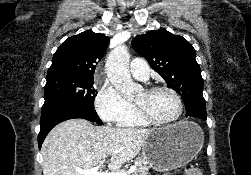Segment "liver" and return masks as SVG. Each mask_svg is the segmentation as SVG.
Listing matches in <instances>:
<instances>
[{"mask_svg": "<svg viewBox=\"0 0 251 175\" xmlns=\"http://www.w3.org/2000/svg\"><path fill=\"white\" fill-rule=\"evenodd\" d=\"M150 129L94 127L87 119H67L55 125L42 143L44 175H83L75 169L97 167L112 155L108 167L118 169L136 157Z\"/></svg>", "mask_w": 251, "mask_h": 175, "instance_id": "obj_1", "label": "liver"}]
</instances>
